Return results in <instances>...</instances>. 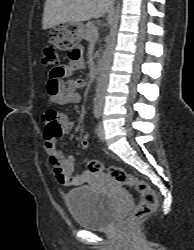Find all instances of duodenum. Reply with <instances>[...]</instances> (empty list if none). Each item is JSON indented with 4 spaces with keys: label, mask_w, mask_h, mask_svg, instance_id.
I'll list each match as a JSON object with an SVG mask.
<instances>
[{
    "label": "duodenum",
    "mask_w": 194,
    "mask_h": 250,
    "mask_svg": "<svg viewBox=\"0 0 194 250\" xmlns=\"http://www.w3.org/2000/svg\"><path fill=\"white\" fill-rule=\"evenodd\" d=\"M101 67H102V60L98 59L95 62V65H94V68H93V75H94V77H97L100 74Z\"/></svg>",
    "instance_id": "1"
}]
</instances>
